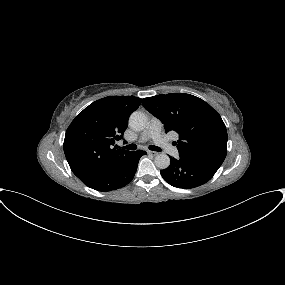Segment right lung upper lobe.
Returning <instances> with one entry per match:
<instances>
[{
    "label": "right lung upper lobe",
    "instance_id": "cb5924a9",
    "mask_svg": "<svg viewBox=\"0 0 285 285\" xmlns=\"http://www.w3.org/2000/svg\"><path fill=\"white\" fill-rule=\"evenodd\" d=\"M134 96H109L86 107L70 124L64 153L72 172L87 183L117 169L132 153L113 147L122 138L127 118L140 105Z\"/></svg>",
    "mask_w": 285,
    "mask_h": 285
}]
</instances>
